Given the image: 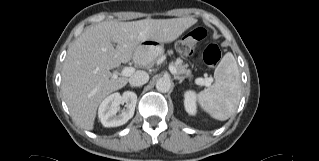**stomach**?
Listing matches in <instances>:
<instances>
[{
    "instance_id": "1",
    "label": "stomach",
    "mask_w": 319,
    "mask_h": 161,
    "mask_svg": "<svg viewBox=\"0 0 319 161\" xmlns=\"http://www.w3.org/2000/svg\"><path fill=\"white\" fill-rule=\"evenodd\" d=\"M163 54V45L155 40L141 42L134 52V61L149 64Z\"/></svg>"
}]
</instances>
